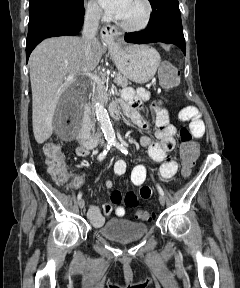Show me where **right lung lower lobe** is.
<instances>
[{
    "mask_svg": "<svg viewBox=\"0 0 240 288\" xmlns=\"http://www.w3.org/2000/svg\"><path fill=\"white\" fill-rule=\"evenodd\" d=\"M84 7L78 10L55 9L48 11L29 23L26 58L43 39L79 33L84 20Z\"/></svg>",
    "mask_w": 240,
    "mask_h": 288,
    "instance_id": "right-lung-lower-lobe-1",
    "label": "right lung lower lobe"
}]
</instances>
